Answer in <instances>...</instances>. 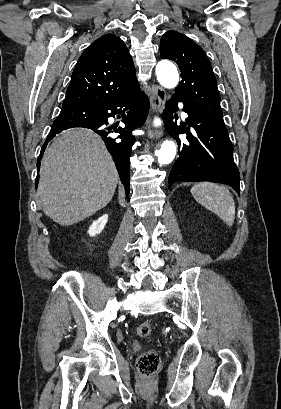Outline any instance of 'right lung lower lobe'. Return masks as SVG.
<instances>
[{"instance_id": "obj_1", "label": "right lung lower lobe", "mask_w": 281, "mask_h": 409, "mask_svg": "<svg viewBox=\"0 0 281 409\" xmlns=\"http://www.w3.org/2000/svg\"><path fill=\"white\" fill-rule=\"evenodd\" d=\"M148 108L149 100L140 91L139 87L126 95L96 104L62 106L59 116L83 117L85 121L79 125H52L38 159V171L39 161L44 149L56 134L73 127L89 128L99 134L104 140L108 151L113 156L119 176L125 186L126 196H128L130 179L129 157L134 142L131 131L144 122ZM126 110L130 111L125 114ZM115 114L122 115L123 127H117V125L108 126V118L114 117ZM116 133L119 134L117 137H115Z\"/></svg>"}]
</instances>
